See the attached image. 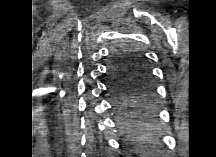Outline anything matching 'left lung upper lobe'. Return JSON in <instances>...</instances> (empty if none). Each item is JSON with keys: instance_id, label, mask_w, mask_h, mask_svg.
Returning a JSON list of instances; mask_svg holds the SVG:
<instances>
[{"instance_id": "5c2ea615", "label": "left lung upper lobe", "mask_w": 216, "mask_h": 157, "mask_svg": "<svg viewBox=\"0 0 216 157\" xmlns=\"http://www.w3.org/2000/svg\"><path fill=\"white\" fill-rule=\"evenodd\" d=\"M110 72L113 81L123 86H133V105L146 103L153 95L152 74L141 52L123 44L112 51Z\"/></svg>"}]
</instances>
